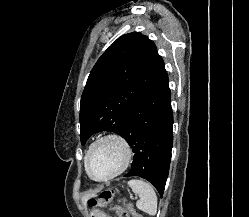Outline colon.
Listing matches in <instances>:
<instances>
[{"label":"colon","instance_id":"colon-1","mask_svg":"<svg viewBox=\"0 0 249 217\" xmlns=\"http://www.w3.org/2000/svg\"><path fill=\"white\" fill-rule=\"evenodd\" d=\"M114 191L112 189L103 190L97 198H91L88 204L91 208L106 207L114 198ZM118 217H140L139 214L130 206L115 205L111 208Z\"/></svg>","mask_w":249,"mask_h":217}]
</instances>
